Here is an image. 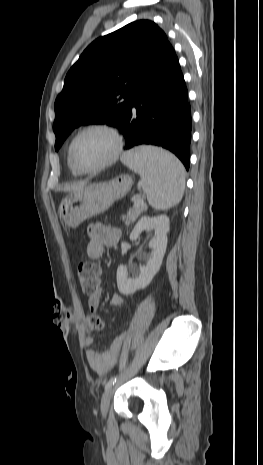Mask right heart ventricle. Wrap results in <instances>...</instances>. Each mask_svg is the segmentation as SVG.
<instances>
[{"instance_id":"1","label":"right heart ventricle","mask_w":263,"mask_h":465,"mask_svg":"<svg viewBox=\"0 0 263 465\" xmlns=\"http://www.w3.org/2000/svg\"><path fill=\"white\" fill-rule=\"evenodd\" d=\"M67 165H68V168H69V170H70V172H71V174H72L73 176H79V175H80V173L77 172V171L72 167V165H71V163H70L68 157H67Z\"/></svg>"}]
</instances>
